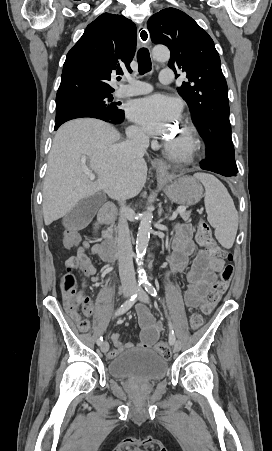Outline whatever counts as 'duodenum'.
Listing matches in <instances>:
<instances>
[{
  "label": "duodenum",
  "instance_id": "duodenum-1",
  "mask_svg": "<svg viewBox=\"0 0 272 451\" xmlns=\"http://www.w3.org/2000/svg\"><path fill=\"white\" fill-rule=\"evenodd\" d=\"M116 210L115 207L107 203L100 210L95 222L96 227L109 225L114 219ZM99 256L106 262H112L117 257L116 244L112 239H107L103 243L99 244Z\"/></svg>",
  "mask_w": 272,
  "mask_h": 451
}]
</instances>
